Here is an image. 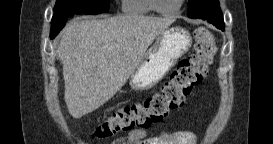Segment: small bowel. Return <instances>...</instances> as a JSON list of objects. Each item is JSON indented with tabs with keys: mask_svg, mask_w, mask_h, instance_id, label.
I'll return each instance as SVG.
<instances>
[{
	"mask_svg": "<svg viewBox=\"0 0 273 144\" xmlns=\"http://www.w3.org/2000/svg\"><path fill=\"white\" fill-rule=\"evenodd\" d=\"M196 135L191 131H163L153 135L145 129L131 130L127 136L118 138L113 144H194Z\"/></svg>",
	"mask_w": 273,
	"mask_h": 144,
	"instance_id": "c3829d8e",
	"label": "small bowel"
}]
</instances>
